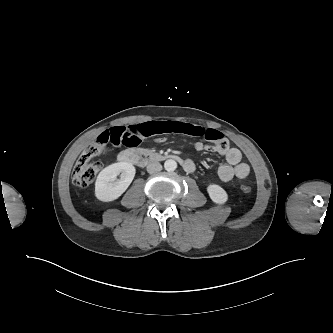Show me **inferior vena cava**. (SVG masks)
<instances>
[{
	"label": "inferior vena cava",
	"instance_id": "602c4592",
	"mask_svg": "<svg viewBox=\"0 0 333 333\" xmlns=\"http://www.w3.org/2000/svg\"><path fill=\"white\" fill-rule=\"evenodd\" d=\"M161 170H162V165L159 162H153L147 166V171L148 173L151 174L160 172Z\"/></svg>",
	"mask_w": 333,
	"mask_h": 333
}]
</instances>
